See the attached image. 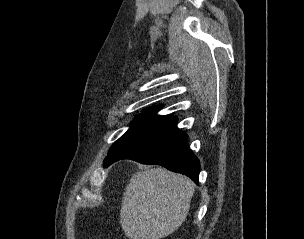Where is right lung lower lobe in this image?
I'll use <instances>...</instances> for the list:
<instances>
[{
	"label": "right lung lower lobe",
	"instance_id": "98d812e1",
	"mask_svg": "<svg viewBox=\"0 0 304 239\" xmlns=\"http://www.w3.org/2000/svg\"><path fill=\"white\" fill-rule=\"evenodd\" d=\"M177 121H169L141 138L109 154L104 166L120 159H132L143 164H157L182 173L198 182L199 160L188 147V136L180 131Z\"/></svg>",
	"mask_w": 304,
	"mask_h": 239
}]
</instances>
